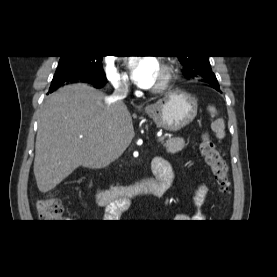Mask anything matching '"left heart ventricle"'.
Segmentation results:
<instances>
[{
	"instance_id": "obj_1",
	"label": "left heart ventricle",
	"mask_w": 277,
	"mask_h": 277,
	"mask_svg": "<svg viewBox=\"0 0 277 277\" xmlns=\"http://www.w3.org/2000/svg\"><path fill=\"white\" fill-rule=\"evenodd\" d=\"M162 76H163V71H162V68L160 66L159 69H158V72H157V76H156V80H155L154 85H156L161 80Z\"/></svg>"
}]
</instances>
